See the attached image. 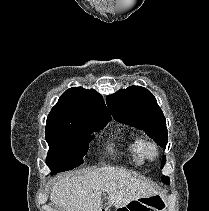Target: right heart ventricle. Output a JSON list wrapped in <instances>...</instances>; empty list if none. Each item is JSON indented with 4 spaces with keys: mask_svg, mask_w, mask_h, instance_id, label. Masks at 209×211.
<instances>
[{
    "mask_svg": "<svg viewBox=\"0 0 209 211\" xmlns=\"http://www.w3.org/2000/svg\"><path fill=\"white\" fill-rule=\"evenodd\" d=\"M122 153L133 164L141 165L145 161L143 152L145 141L142 137L134 133L123 132L122 135Z\"/></svg>",
    "mask_w": 209,
    "mask_h": 211,
    "instance_id": "right-heart-ventricle-1",
    "label": "right heart ventricle"
}]
</instances>
